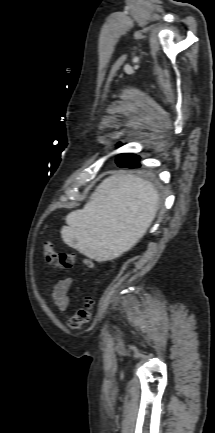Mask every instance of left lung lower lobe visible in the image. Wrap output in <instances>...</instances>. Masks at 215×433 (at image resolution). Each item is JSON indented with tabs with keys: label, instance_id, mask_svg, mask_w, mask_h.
Wrapping results in <instances>:
<instances>
[{
	"label": "left lung lower lobe",
	"instance_id": "left-lung-lower-lobe-1",
	"mask_svg": "<svg viewBox=\"0 0 215 433\" xmlns=\"http://www.w3.org/2000/svg\"><path fill=\"white\" fill-rule=\"evenodd\" d=\"M138 167H140L139 163H131L127 165L125 168H138Z\"/></svg>",
	"mask_w": 215,
	"mask_h": 433
}]
</instances>
